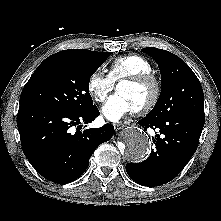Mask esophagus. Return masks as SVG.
Instances as JSON below:
<instances>
[{
    "label": "esophagus",
    "mask_w": 221,
    "mask_h": 221,
    "mask_svg": "<svg viewBox=\"0 0 221 221\" xmlns=\"http://www.w3.org/2000/svg\"><path fill=\"white\" fill-rule=\"evenodd\" d=\"M114 128L116 131H119L124 128V125L122 123H117V124H114Z\"/></svg>",
    "instance_id": "obj_1"
}]
</instances>
